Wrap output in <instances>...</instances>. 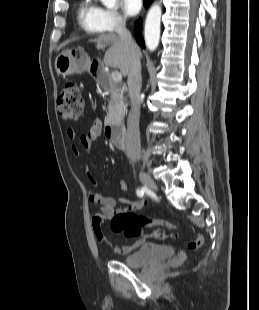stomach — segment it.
<instances>
[{"mask_svg":"<svg viewBox=\"0 0 259 310\" xmlns=\"http://www.w3.org/2000/svg\"><path fill=\"white\" fill-rule=\"evenodd\" d=\"M89 66V57L83 51L75 48L66 49L58 55L55 68L63 76L82 73Z\"/></svg>","mask_w":259,"mask_h":310,"instance_id":"stomach-1","label":"stomach"}]
</instances>
